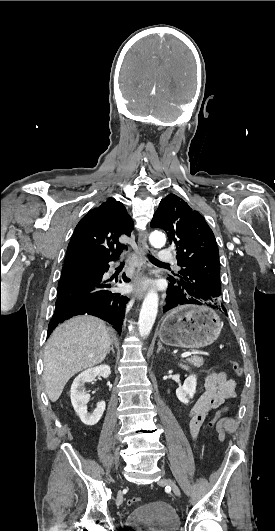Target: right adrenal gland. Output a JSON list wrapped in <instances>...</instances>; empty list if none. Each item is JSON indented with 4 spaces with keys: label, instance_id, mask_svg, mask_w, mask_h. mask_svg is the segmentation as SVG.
I'll return each instance as SVG.
<instances>
[{
    "label": "right adrenal gland",
    "instance_id": "2a0ac1e0",
    "mask_svg": "<svg viewBox=\"0 0 275 531\" xmlns=\"http://www.w3.org/2000/svg\"><path fill=\"white\" fill-rule=\"evenodd\" d=\"M110 351H112V353H115V351H114L113 341H111V347H110V349H109L107 355H109Z\"/></svg>",
    "mask_w": 275,
    "mask_h": 531
}]
</instances>
